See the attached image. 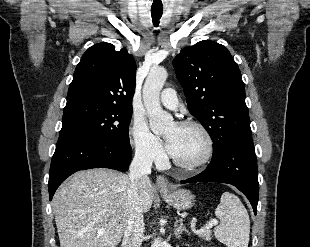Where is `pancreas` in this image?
<instances>
[{
  "instance_id": "obj_1",
  "label": "pancreas",
  "mask_w": 310,
  "mask_h": 247,
  "mask_svg": "<svg viewBox=\"0 0 310 247\" xmlns=\"http://www.w3.org/2000/svg\"><path fill=\"white\" fill-rule=\"evenodd\" d=\"M199 237L205 239L206 241L211 240V231L210 230H203L199 233Z\"/></svg>"
}]
</instances>
